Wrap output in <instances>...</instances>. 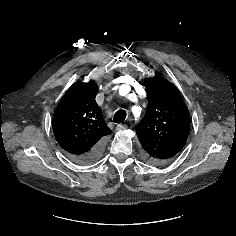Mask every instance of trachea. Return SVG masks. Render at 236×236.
<instances>
[{"label":"trachea","mask_w":236,"mask_h":236,"mask_svg":"<svg viewBox=\"0 0 236 236\" xmlns=\"http://www.w3.org/2000/svg\"><path fill=\"white\" fill-rule=\"evenodd\" d=\"M126 111L125 110H118L113 118V122L115 123H123L126 118Z\"/></svg>","instance_id":"trachea-1"}]
</instances>
